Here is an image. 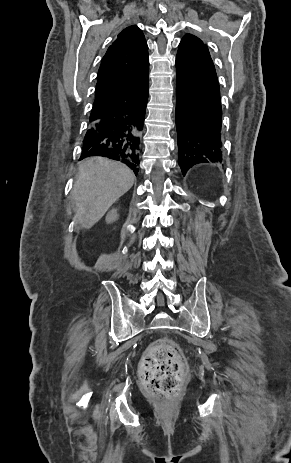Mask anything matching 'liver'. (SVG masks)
<instances>
[{
  "label": "liver",
  "instance_id": "6515ba94",
  "mask_svg": "<svg viewBox=\"0 0 291 463\" xmlns=\"http://www.w3.org/2000/svg\"><path fill=\"white\" fill-rule=\"evenodd\" d=\"M134 180V173L120 162L102 157L81 161L72 190L75 222L84 229L94 226L130 190Z\"/></svg>",
  "mask_w": 291,
  "mask_h": 463
}]
</instances>
